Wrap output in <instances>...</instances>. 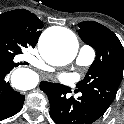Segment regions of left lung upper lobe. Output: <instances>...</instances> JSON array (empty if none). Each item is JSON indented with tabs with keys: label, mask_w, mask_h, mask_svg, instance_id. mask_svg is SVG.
<instances>
[{
	"label": "left lung upper lobe",
	"mask_w": 124,
	"mask_h": 124,
	"mask_svg": "<svg viewBox=\"0 0 124 124\" xmlns=\"http://www.w3.org/2000/svg\"><path fill=\"white\" fill-rule=\"evenodd\" d=\"M79 27L80 38L95 49L96 58L77 88L106 111L123 79V47L118 37L102 24L85 21Z\"/></svg>",
	"instance_id": "5c2ea615"
}]
</instances>
